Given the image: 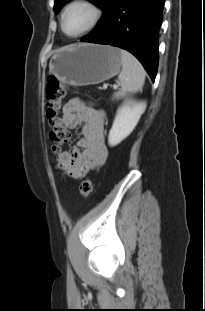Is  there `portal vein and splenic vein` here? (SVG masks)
Masks as SVG:
<instances>
[{
    "label": "portal vein and splenic vein",
    "mask_w": 205,
    "mask_h": 311,
    "mask_svg": "<svg viewBox=\"0 0 205 311\" xmlns=\"http://www.w3.org/2000/svg\"><path fill=\"white\" fill-rule=\"evenodd\" d=\"M114 88H117V85H114Z\"/></svg>",
    "instance_id": "18ae733b"
}]
</instances>
